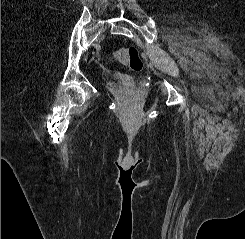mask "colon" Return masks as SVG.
<instances>
[{"label":"colon","mask_w":245,"mask_h":239,"mask_svg":"<svg viewBox=\"0 0 245 239\" xmlns=\"http://www.w3.org/2000/svg\"><path fill=\"white\" fill-rule=\"evenodd\" d=\"M114 59L121 64L129 66L134 72H139L143 68V61L139 51L134 46L125 47L114 53Z\"/></svg>","instance_id":"colon-1"}]
</instances>
